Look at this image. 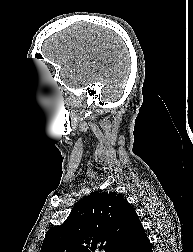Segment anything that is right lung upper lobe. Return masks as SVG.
<instances>
[{
	"label": "right lung upper lobe",
	"instance_id": "1",
	"mask_svg": "<svg viewBox=\"0 0 193 252\" xmlns=\"http://www.w3.org/2000/svg\"><path fill=\"white\" fill-rule=\"evenodd\" d=\"M142 229L123 196L95 191L74 206L63 224L47 231L40 252H123Z\"/></svg>",
	"mask_w": 193,
	"mask_h": 252
}]
</instances>
